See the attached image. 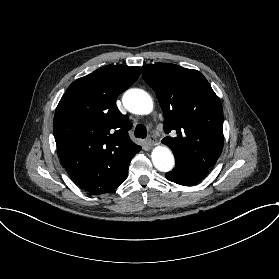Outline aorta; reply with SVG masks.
I'll list each match as a JSON object with an SVG mask.
<instances>
[{
  "label": "aorta",
  "mask_w": 279,
  "mask_h": 279,
  "mask_svg": "<svg viewBox=\"0 0 279 279\" xmlns=\"http://www.w3.org/2000/svg\"><path fill=\"white\" fill-rule=\"evenodd\" d=\"M122 102L124 107L133 114L147 115L153 109V101L150 95L144 90L133 88L127 90ZM153 165L161 172H169L175 163L174 155L166 146H157L151 154Z\"/></svg>",
  "instance_id": "762f6f07"
}]
</instances>
